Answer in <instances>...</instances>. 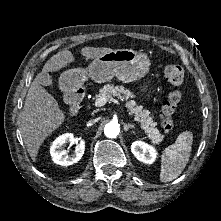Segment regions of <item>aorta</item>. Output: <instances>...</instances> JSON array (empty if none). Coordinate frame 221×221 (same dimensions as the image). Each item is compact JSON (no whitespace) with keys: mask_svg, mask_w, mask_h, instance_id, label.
<instances>
[{"mask_svg":"<svg viewBox=\"0 0 221 221\" xmlns=\"http://www.w3.org/2000/svg\"><path fill=\"white\" fill-rule=\"evenodd\" d=\"M120 132L118 123L109 122L104 127V134L108 138H116Z\"/></svg>","mask_w":221,"mask_h":221,"instance_id":"obj_1","label":"aorta"}]
</instances>
